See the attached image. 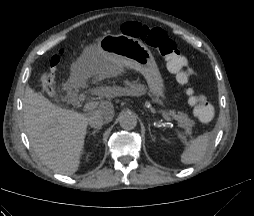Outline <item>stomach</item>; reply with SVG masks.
Instances as JSON below:
<instances>
[{"mask_svg": "<svg viewBox=\"0 0 254 216\" xmlns=\"http://www.w3.org/2000/svg\"><path fill=\"white\" fill-rule=\"evenodd\" d=\"M108 59H119L125 68L142 74L153 101L164 104L165 82L152 52L145 44L123 35H107L89 47L75 65L77 70L92 74Z\"/></svg>", "mask_w": 254, "mask_h": 216, "instance_id": "obj_1", "label": "stomach"}]
</instances>
